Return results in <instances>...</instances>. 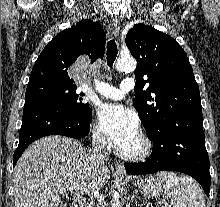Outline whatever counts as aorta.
Returning <instances> with one entry per match:
<instances>
[{
    "instance_id": "aorta-1",
    "label": "aorta",
    "mask_w": 220,
    "mask_h": 207,
    "mask_svg": "<svg viewBox=\"0 0 220 207\" xmlns=\"http://www.w3.org/2000/svg\"><path fill=\"white\" fill-rule=\"evenodd\" d=\"M116 69L119 72H132L136 69V61L133 57H121L116 62ZM112 207H120L118 192L113 194Z\"/></svg>"
}]
</instances>
